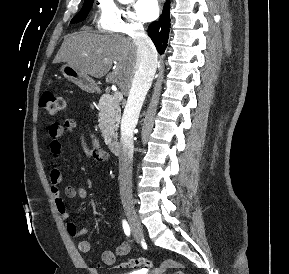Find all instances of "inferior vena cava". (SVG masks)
<instances>
[{
    "label": "inferior vena cava",
    "mask_w": 289,
    "mask_h": 274,
    "mask_svg": "<svg viewBox=\"0 0 289 274\" xmlns=\"http://www.w3.org/2000/svg\"><path fill=\"white\" fill-rule=\"evenodd\" d=\"M133 42L137 46L136 70L121 121L119 185L122 196L132 193L133 131L157 68L156 49L142 25L137 26Z\"/></svg>",
    "instance_id": "obj_1"
}]
</instances>
